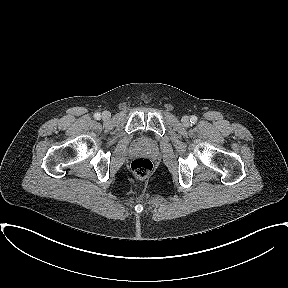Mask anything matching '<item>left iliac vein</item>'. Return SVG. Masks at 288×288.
<instances>
[{
    "instance_id": "left-iliac-vein-1",
    "label": "left iliac vein",
    "mask_w": 288,
    "mask_h": 288,
    "mask_svg": "<svg viewBox=\"0 0 288 288\" xmlns=\"http://www.w3.org/2000/svg\"><path fill=\"white\" fill-rule=\"evenodd\" d=\"M182 123L184 126H188L190 124V120L188 116H183L182 117Z\"/></svg>"
}]
</instances>
